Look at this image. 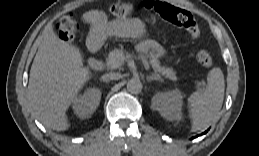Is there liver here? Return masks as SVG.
Instances as JSON below:
<instances>
[{
  "mask_svg": "<svg viewBox=\"0 0 259 156\" xmlns=\"http://www.w3.org/2000/svg\"><path fill=\"white\" fill-rule=\"evenodd\" d=\"M90 77L79 49L59 39L52 25H47L28 84L29 101L38 120L53 130H67L66 111Z\"/></svg>",
  "mask_w": 259,
  "mask_h": 156,
  "instance_id": "6515ba94",
  "label": "liver"
}]
</instances>
